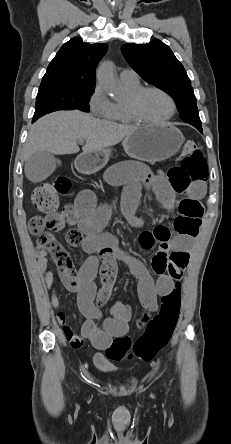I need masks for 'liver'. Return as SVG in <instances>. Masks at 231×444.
I'll use <instances>...</instances> for the list:
<instances>
[{"label":"liver","instance_id":"liver-1","mask_svg":"<svg viewBox=\"0 0 231 444\" xmlns=\"http://www.w3.org/2000/svg\"><path fill=\"white\" fill-rule=\"evenodd\" d=\"M138 128L99 120L78 110L53 112L31 127L24 146V160L37 151L57 155L78 153L79 140L86 141L83 154L104 150L118 144Z\"/></svg>","mask_w":231,"mask_h":444}]
</instances>
